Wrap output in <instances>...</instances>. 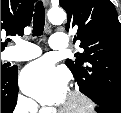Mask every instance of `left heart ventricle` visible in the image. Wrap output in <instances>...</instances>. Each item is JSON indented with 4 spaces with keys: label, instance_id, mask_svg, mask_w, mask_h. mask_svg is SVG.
Wrapping results in <instances>:
<instances>
[{
    "label": "left heart ventricle",
    "instance_id": "left-heart-ventricle-1",
    "mask_svg": "<svg viewBox=\"0 0 121 113\" xmlns=\"http://www.w3.org/2000/svg\"><path fill=\"white\" fill-rule=\"evenodd\" d=\"M73 102H72V100L69 98V96L67 95V97L65 98V101L63 102V104H64V106L65 105H70V104H72Z\"/></svg>",
    "mask_w": 121,
    "mask_h": 113
}]
</instances>
